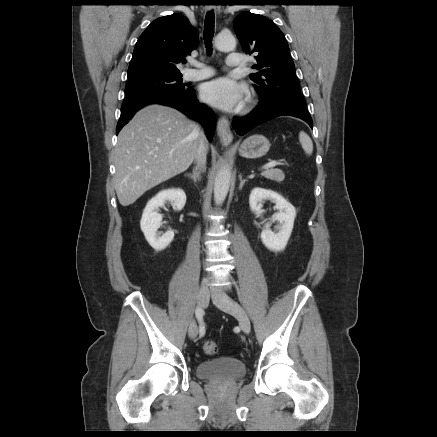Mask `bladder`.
<instances>
[{
	"mask_svg": "<svg viewBox=\"0 0 437 437\" xmlns=\"http://www.w3.org/2000/svg\"><path fill=\"white\" fill-rule=\"evenodd\" d=\"M246 366L243 361L233 357H222L200 362L196 374L201 379H236L244 376Z\"/></svg>",
	"mask_w": 437,
	"mask_h": 437,
	"instance_id": "bladder-1",
	"label": "bladder"
}]
</instances>
